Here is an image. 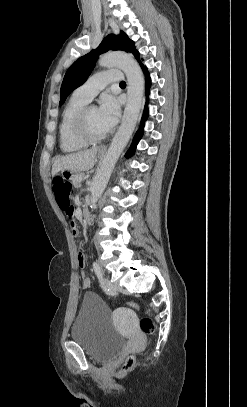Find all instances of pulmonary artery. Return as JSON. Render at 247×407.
Masks as SVG:
<instances>
[{
	"label": "pulmonary artery",
	"instance_id": "pulmonary-artery-1",
	"mask_svg": "<svg viewBox=\"0 0 247 407\" xmlns=\"http://www.w3.org/2000/svg\"><path fill=\"white\" fill-rule=\"evenodd\" d=\"M123 79V74L119 70H107L94 74L84 84L78 87L73 97L90 102L107 84L119 83Z\"/></svg>",
	"mask_w": 247,
	"mask_h": 407
}]
</instances>
